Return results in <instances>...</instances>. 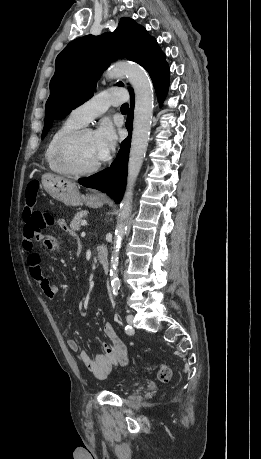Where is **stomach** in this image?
<instances>
[{"instance_id": "stomach-1", "label": "stomach", "mask_w": 261, "mask_h": 459, "mask_svg": "<svg viewBox=\"0 0 261 459\" xmlns=\"http://www.w3.org/2000/svg\"><path fill=\"white\" fill-rule=\"evenodd\" d=\"M41 182L47 193L54 199L68 206H79L85 203L90 207H101L105 199L99 195H81L78 187L63 177L45 173L41 177Z\"/></svg>"}]
</instances>
